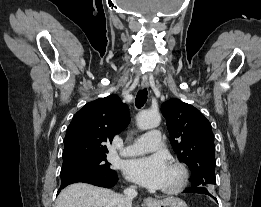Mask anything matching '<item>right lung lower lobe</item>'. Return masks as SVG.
<instances>
[{"instance_id":"obj_1","label":"right lung lower lobe","mask_w":261,"mask_h":207,"mask_svg":"<svg viewBox=\"0 0 261 207\" xmlns=\"http://www.w3.org/2000/svg\"><path fill=\"white\" fill-rule=\"evenodd\" d=\"M76 182H85L100 187L111 188L118 182V176L116 173L75 175L72 177L62 179L61 186L58 190V193L60 192L61 189L65 188L67 185Z\"/></svg>"}]
</instances>
